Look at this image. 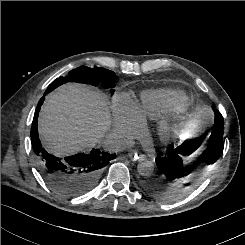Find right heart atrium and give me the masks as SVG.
I'll return each instance as SVG.
<instances>
[{
  "label": "right heart atrium",
  "mask_w": 245,
  "mask_h": 245,
  "mask_svg": "<svg viewBox=\"0 0 245 245\" xmlns=\"http://www.w3.org/2000/svg\"><path fill=\"white\" fill-rule=\"evenodd\" d=\"M113 133L121 141L128 142L140 135L144 121L135 103L126 95H118L112 101Z\"/></svg>",
  "instance_id": "1"
}]
</instances>
